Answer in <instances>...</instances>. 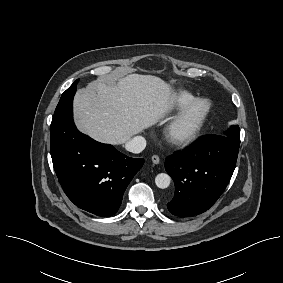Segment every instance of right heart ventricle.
<instances>
[{
    "label": "right heart ventricle",
    "instance_id": "right-heart-ventricle-1",
    "mask_svg": "<svg viewBox=\"0 0 283 283\" xmlns=\"http://www.w3.org/2000/svg\"><path fill=\"white\" fill-rule=\"evenodd\" d=\"M195 99V96L185 90H179L175 92L167 105V109L169 111H177L182 108H184L186 105H188L190 102H192Z\"/></svg>",
    "mask_w": 283,
    "mask_h": 283
}]
</instances>
